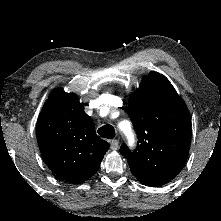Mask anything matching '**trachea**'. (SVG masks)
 <instances>
[{
    "instance_id": "1",
    "label": "trachea",
    "mask_w": 221,
    "mask_h": 221,
    "mask_svg": "<svg viewBox=\"0 0 221 221\" xmlns=\"http://www.w3.org/2000/svg\"><path fill=\"white\" fill-rule=\"evenodd\" d=\"M98 134L107 139H113L115 137V129L112 125H104L98 129Z\"/></svg>"
}]
</instances>
